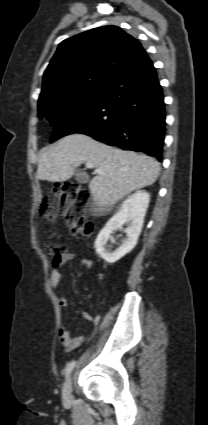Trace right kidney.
<instances>
[{
    "label": "right kidney",
    "instance_id": "right-kidney-1",
    "mask_svg": "<svg viewBox=\"0 0 208 425\" xmlns=\"http://www.w3.org/2000/svg\"><path fill=\"white\" fill-rule=\"evenodd\" d=\"M150 195L146 191H137L129 196L116 213L98 234L95 241L96 252L108 263H115L136 246L141 233L144 217L148 208ZM128 224L125 230L127 238L114 252L106 248L111 234Z\"/></svg>",
    "mask_w": 208,
    "mask_h": 425
}]
</instances>
